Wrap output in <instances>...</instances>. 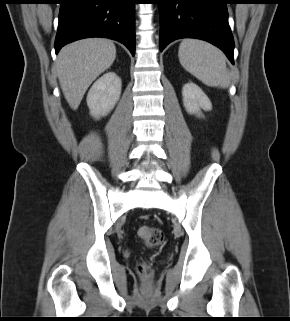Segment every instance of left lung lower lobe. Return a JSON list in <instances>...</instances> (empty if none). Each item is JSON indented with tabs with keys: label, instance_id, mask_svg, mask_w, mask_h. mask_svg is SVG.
Here are the masks:
<instances>
[{
	"label": "left lung lower lobe",
	"instance_id": "obj_1",
	"mask_svg": "<svg viewBox=\"0 0 290 321\" xmlns=\"http://www.w3.org/2000/svg\"><path fill=\"white\" fill-rule=\"evenodd\" d=\"M229 0H159L160 51L180 38H197L220 48L234 64L228 24Z\"/></svg>",
	"mask_w": 290,
	"mask_h": 321
}]
</instances>
